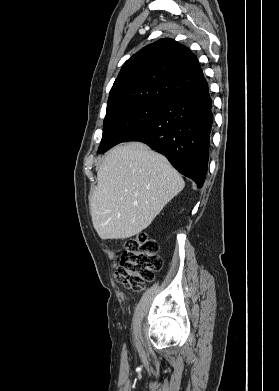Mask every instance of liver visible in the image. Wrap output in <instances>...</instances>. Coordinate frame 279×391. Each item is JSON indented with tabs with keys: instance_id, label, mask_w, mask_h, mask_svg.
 I'll list each match as a JSON object with an SVG mask.
<instances>
[{
	"instance_id": "obj_1",
	"label": "liver",
	"mask_w": 279,
	"mask_h": 391,
	"mask_svg": "<svg viewBox=\"0 0 279 391\" xmlns=\"http://www.w3.org/2000/svg\"><path fill=\"white\" fill-rule=\"evenodd\" d=\"M185 186L161 154L140 142L111 150L97 173L90 202L93 226L101 239H124L146 229Z\"/></svg>"
}]
</instances>
